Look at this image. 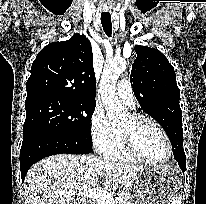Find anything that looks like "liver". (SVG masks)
<instances>
[{"label": "liver", "mask_w": 206, "mask_h": 204, "mask_svg": "<svg viewBox=\"0 0 206 204\" xmlns=\"http://www.w3.org/2000/svg\"><path fill=\"white\" fill-rule=\"evenodd\" d=\"M143 169V166L117 163L90 155L50 156L33 165L27 172L24 180L25 203L79 204L74 196L62 193L84 186L113 191L129 185Z\"/></svg>", "instance_id": "liver-1"}]
</instances>
